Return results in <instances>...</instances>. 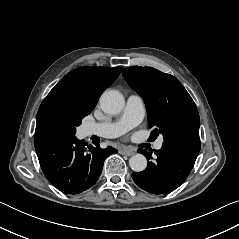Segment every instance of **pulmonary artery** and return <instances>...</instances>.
Returning <instances> with one entry per match:
<instances>
[{
	"label": "pulmonary artery",
	"instance_id": "obj_1",
	"mask_svg": "<svg viewBox=\"0 0 239 239\" xmlns=\"http://www.w3.org/2000/svg\"><path fill=\"white\" fill-rule=\"evenodd\" d=\"M145 109L143 98L139 94L130 93L127 102L119 120L112 122H91L85 124V135H97L103 138H116L128 130L140 124L144 118ZM162 138H159L155 144L156 149H161Z\"/></svg>",
	"mask_w": 239,
	"mask_h": 239
}]
</instances>
